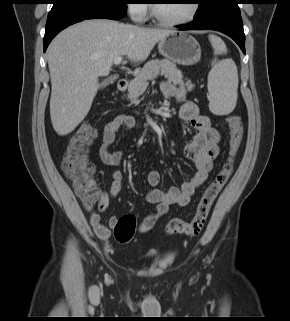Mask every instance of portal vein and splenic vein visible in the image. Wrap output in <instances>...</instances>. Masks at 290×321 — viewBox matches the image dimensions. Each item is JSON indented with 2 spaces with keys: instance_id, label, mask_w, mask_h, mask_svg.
Here are the masks:
<instances>
[{
  "instance_id": "portal-vein-and-splenic-vein-1",
  "label": "portal vein and splenic vein",
  "mask_w": 290,
  "mask_h": 321,
  "mask_svg": "<svg viewBox=\"0 0 290 321\" xmlns=\"http://www.w3.org/2000/svg\"><path fill=\"white\" fill-rule=\"evenodd\" d=\"M121 61H122V57H116V58L114 59V64H115V65H119V64L121 63Z\"/></svg>"
}]
</instances>
